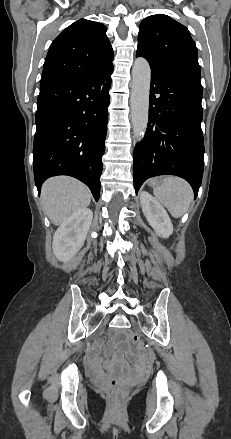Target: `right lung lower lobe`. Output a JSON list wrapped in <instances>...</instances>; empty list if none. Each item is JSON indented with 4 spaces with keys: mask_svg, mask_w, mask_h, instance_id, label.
I'll return each mask as SVG.
<instances>
[{
    "mask_svg": "<svg viewBox=\"0 0 231 439\" xmlns=\"http://www.w3.org/2000/svg\"><path fill=\"white\" fill-rule=\"evenodd\" d=\"M113 64L81 80L40 88L33 146L35 184L55 175L84 182L99 200Z\"/></svg>",
    "mask_w": 231,
    "mask_h": 439,
    "instance_id": "98d812e1",
    "label": "right lung lower lobe"
}]
</instances>
